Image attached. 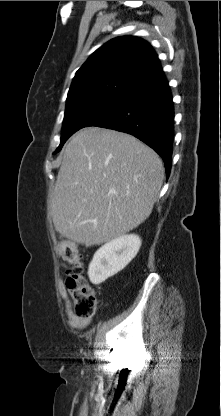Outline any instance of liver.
<instances>
[{
  "instance_id": "6515ba94",
  "label": "liver",
  "mask_w": 221,
  "mask_h": 416,
  "mask_svg": "<svg viewBox=\"0 0 221 416\" xmlns=\"http://www.w3.org/2000/svg\"><path fill=\"white\" fill-rule=\"evenodd\" d=\"M163 178L162 160L134 136L84 128L66 145L52 193L55 230L86 247L124 236L150 216Z\"/></svg>"
}]
</instances>
